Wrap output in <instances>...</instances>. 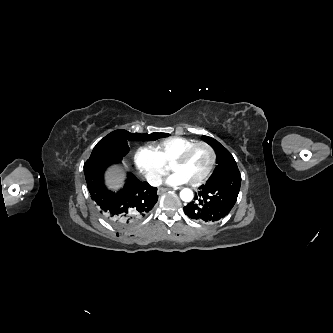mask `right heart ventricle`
I'll use <instances>...</instances> for the list:
<instances>
[{
  "label": "right heart ventricle",
  "mask_w": 333,
  "mask_h": 333,
  "mask_svg": "<svg viewBox=\"0 0 333 333\" xmlns=\"http://www.w3.org/2000/svg\"><path fill=\"white\" fill-rule=\"evenodd\" d=\"M195 142L188 138L172 136L155 142L152 149L164 164H170L185 148Z\"/></svg>",
  "instance_id": "1"
}]
</instances>
